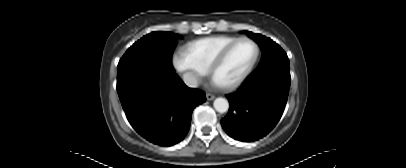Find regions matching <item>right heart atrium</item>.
Instances as JSON below:
<instances>
[{
	"mask_svg": "<svg viewBox=\"0 0 406 168\" xmlns=\"http://www.w3.org/2000/svg\"><path fill=\"white\" fill-rule=\"evenodd\" d=\"M175 69L182 74L187 85L195 87L206 71L198 67L185 51H178L172 57Z\"/></svg>",
	"mask_w": 406,
	"mask_h": 168,
	"instance_id": "d8ad5b80",
	"label": "right heart atrium"
}]
</instances>
